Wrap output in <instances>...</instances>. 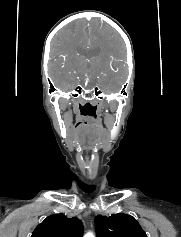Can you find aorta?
Segmentation results:
<instances>
[{"label":"aorta","instance_id":"obj_1","mask_svg":"<svg viewBox=\"0 0 181 237\" xmlns=\"http://www.w3.org/2000/svg\"><path fill=\"white\" fill-rule=\"evenodd\" d=\"M84 237H95L94 235H93V233H87Z\"/></svg>","mask_w":181,"mask_h":237}]
</instances>
